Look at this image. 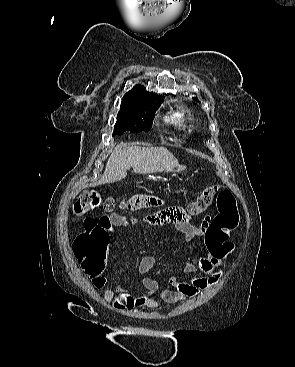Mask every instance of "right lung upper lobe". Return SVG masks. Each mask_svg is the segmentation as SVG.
<instances>
[{
	"mask_svg": "<svg viewBox=\"0 0 295 367\" xmlns=\"http://www.w3.org/2000/svg\"><path fill=\"white\" fill-rule=\"evenodd\" d=\"M162 97L156 93L149 92L142 85L134 86L129 92H127L121 103L120 111L128 110L130 107L136 104H161Z\"/></svg>",
	"mask_w": 295,
	"mask_h": 367,
	"instance_id": "1",
	"label": "right lung upper lobe"
}]
</instances>
